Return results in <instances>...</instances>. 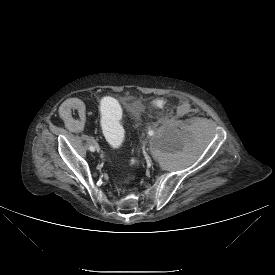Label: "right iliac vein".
Returning a JSON list of instances; mask_svg holds the SVG:
<instances>
[{
    "instance_id": "right-iliac-vein-1",
    "label": "right iliac vein",
    "mask_w": 275,
    "mask_h": 275,
    "mask_svg": "<svg viewBox=\"0 0 275 275\" xmlns=\"http://www.w3.org/2000/svg\"><path fill=\"white\" fill-rule=\"evenodd\" d=\"M94 145H95V147H96V150L99 151L100 148H99L98 144H97V143H94Z\"/></svg>"
}]
</instances>
